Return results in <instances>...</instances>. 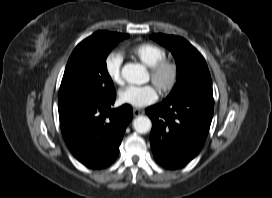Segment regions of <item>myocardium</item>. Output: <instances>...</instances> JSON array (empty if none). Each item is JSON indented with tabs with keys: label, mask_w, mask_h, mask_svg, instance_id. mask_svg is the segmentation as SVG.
I'll list each match as a JSON object with an SVG mask.
<instances>
[{
	"label": "myocardium",
	"mask_w": 272,
	"mask_h": 198,
	"mask_svg": "<svg viewBox=\"0 0 272 198\" xmlns=\"http://www.w3.org/2000/svg\"><path fill=\"white\" fill-rule=\"evenodd\" d=\"M150 79L161 95L171 92L178 81V66L169 59H162L150 67Z\"/></svg>",
	"instance_id": "f54148a6"
}]
</instances>
